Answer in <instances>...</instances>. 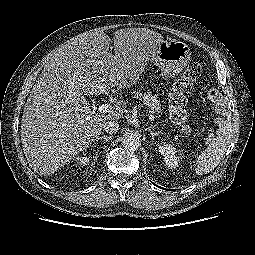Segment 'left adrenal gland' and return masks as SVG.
<instances>
[{
    "instance_id": "a2214340",
    "label": "left adrenal gland",
    "mask_w": 255,
    "mask_h": 255,
    "mask_svg": "<svg viewBox=\"0 0 255 255\" xmlns=\"http://www.w3.org/2000/svg\"><path fill=\"white\" fill-rule=\"evenodd\" d=\"M148 131L150 132L151 136H152V140H154L155 136L159 135L161 133V131H152L150 127H148Z\"/></svg>"
}]
</instances>
